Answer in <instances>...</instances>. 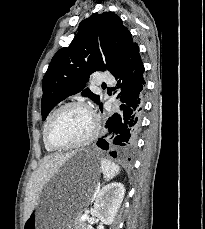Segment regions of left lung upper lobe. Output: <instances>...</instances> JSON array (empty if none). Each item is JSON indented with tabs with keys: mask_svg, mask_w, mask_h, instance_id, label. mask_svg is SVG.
Here are the masks:
<instances>
[{
	"mask_svg": "<svg viewBox=\"0 0 205 229\" xmlns=\"http://www.w3.org/2000/svg\"><path fill=\"white\" fill-rule=\"evenodd\" d=\"M132 44L130 31L115 13H95L83 20L71 44L53 56L43 78L42 120L60 101L82 91L91 73L108 70L113 74ZM82 95L100 102L88 88Z\"/></svg>",
	"mask_w": 205,
	"mask_h": 229,
	"instance_id": "1",
	"label": "left lung upper lobe"
}]
</instances>
